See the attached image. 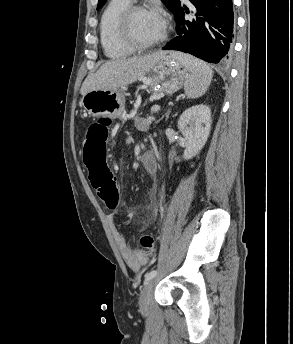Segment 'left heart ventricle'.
I'll return each mask as SVG.
<instances>
[{"mask_svg": "<svg viewBox=\"0 0 293 344\" xmlns=\"http://www.w3.org/2000/svg\"><path fill=\"white\" fill-rule=\"evenodd\" d=\"M133 36L142 42H151L159 39L164 31L158 15L155 12H139L131 22Z\"/></svg>", "mask_w": 293, "mask_h": 344, "instance_id": "b2bd125f", "label": "left heart ventricle"}]
</instances>
